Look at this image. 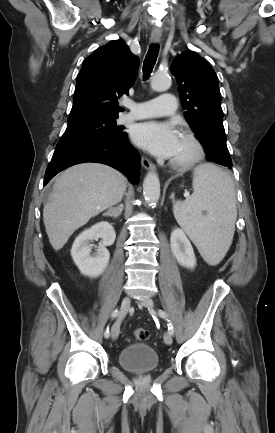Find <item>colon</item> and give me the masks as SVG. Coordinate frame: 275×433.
<instances>
[{
  "label": "colon",
  "mask_w": 275,
  "mask_h": 433,
  "mask_svg": "<svg viewBox=\"0 0 275 433\" xmlns=\"http://www.w3.org/2000/svg\"><path fill=\"white\" fill-rule=\"evenodd\" d=\"M134 336L139 341H145L149 338V331L145 328H136L134 330Z\"/></svg>",
  "instance_id": "5ec220e1"
}]
</instances>
